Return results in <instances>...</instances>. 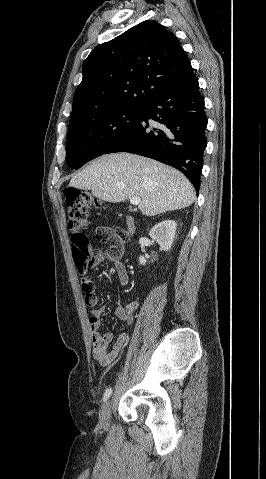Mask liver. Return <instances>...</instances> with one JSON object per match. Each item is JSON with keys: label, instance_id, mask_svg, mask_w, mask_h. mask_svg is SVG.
<instances>
[{"label": "liver", "instance_id": "liver-1", "mask_svg": "<svg viewBox=\"0 0 266 479\" xmlns=\"http://www.w3.org/2000/svg\"><path fill=\"white\" fill-rule=\"evenodd\" d=\"M69 187L90 190L113 203L139 197V210L146 216L186 208L195 200V190L181 172L130 153L95 159L70 180Z\"/></svg>", "mask_w": 266, "mask_h": 479}]
</instances>
